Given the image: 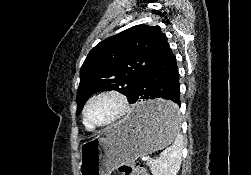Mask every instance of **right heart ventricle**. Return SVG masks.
Masks as SVG:
<instances>
[{"mask_svg":"<svg viewBox=\"0 0 251 175\" xmlns=\"http://www.w3.org/2000/svg\"><path fill=\"white\" fill-rule=\"evenodd\" d=\"M87 129V131H89V132H94V130H91V129H88V128H86Z\"/></svg>","mask_w":251,"mask_h":175,"instance_id":"e07e8e85","label":"right heart ventricle"}]
</instances>
